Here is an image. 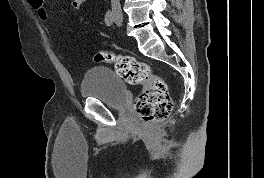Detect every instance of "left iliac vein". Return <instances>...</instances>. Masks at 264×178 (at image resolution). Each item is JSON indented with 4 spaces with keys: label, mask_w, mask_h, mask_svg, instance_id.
Returning <instances> with one entry per match:
<instances>
[{
    "label": "left iliac vein",
    "mask_w": 264,
    "mask_h": 178,
    "mask_svg": "<svg viewBox=\"0 0 264 178\" xmlns=\"http://www.w3.org/2000/svg\"><path fill=\"white\" fill-rule=\"evenodd\" d=\"M114 21H115L116 25H118V26L122 25V17L120 19L115 18Z\"/></svg>",
    "instance_id": "4c4485c4"
}]
</instances>
